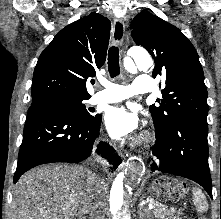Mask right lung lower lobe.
I'll use <instances>...</instances> for the list:
<instances>
[{"label": "right lung lower lobe", "instance_id": "obj_1", "mask_svg": "<svg viewBox=\"0 0 221 219\" xmlns=\"http://www.w3.org/2000/svg\"><path fill=\"white\" fill-rule=\"evenodd\" d=\"M101 118L97 114L91 120H81L65 110L30 106L14 183L24 172L37 165L77 163L94 153L105 157L112 149L98 141Z\"/></svg>", "mask_w": 221, "mask_h": 219}]
</instances>
